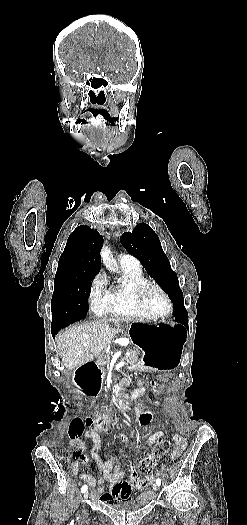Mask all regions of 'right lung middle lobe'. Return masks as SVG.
<instances>
[{
	"instance_id": "dd1d6c3e",
	"label": "right lung middle lobe",
	"mask_w": 247,
	"mask_h": 525,
	"mask_svg": "<svg viewBox=\"0 0 247 525\" xmlns=\"http://www.w3.org/2000/svg\"><path fill=\"white\" fill-rule=\"evenodd\" d=\"M95 273L84 271L57 272L51 300L52 326H67L86 317L91 281Z\"/></svg>"
}]
</instances>
